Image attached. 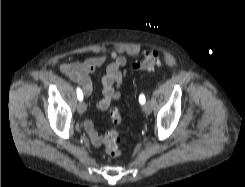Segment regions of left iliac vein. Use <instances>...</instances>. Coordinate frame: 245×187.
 <instances>
[{
  "instance_id": "obj_1",
  "label": "left iliac vein",
  "mask_w": 245,
  "mask_h": 187,
  "mask_svg": "<svg viewBox=\"0 0 245 187\" xmlns=\"http://www.w3.org/2000/svg\"><path fill=\"white\" fill-rule=\"evenodd\" d=\"M143 111L149 115L152 111V107H151V103L150 102H146L144 105H143Z\"/></svg>"
}]
</instances>
